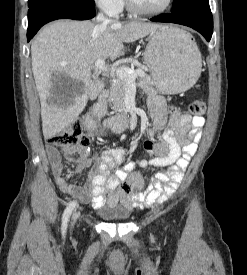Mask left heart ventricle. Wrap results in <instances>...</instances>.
<instances>
[{
	"instance_id": "obj_1",
	"label": "left heart ventricle",
	"mask_w": 247,
	"mask_h": 275,
	"mask_svg": "<svg viewBox=\"0 0 247 275\" xmlns=\"http://www.w3.org/2000/svg\"><path fill=\"white\" fill-rule=\"evenodd\" d=\"M144 9H159L165 5L167 0H135Z\"/></svg>"
}]
</instances>
